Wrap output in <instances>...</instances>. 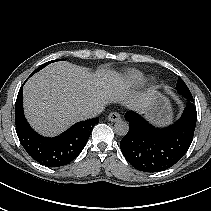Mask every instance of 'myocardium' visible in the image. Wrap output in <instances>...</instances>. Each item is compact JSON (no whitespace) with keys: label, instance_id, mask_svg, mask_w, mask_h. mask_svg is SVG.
Wrapping results in <instances>:
<instances>
[{"label":"myocardium","instance_id":"myocardium-1","mask_svg":"<svg viewBox=\"0 0 211 211\" xmlns=\"http://www.w3.org/2000/svg\"><path fill=\"white\" fill-rule=\"evenodd\" d=\"M154 83H155V80L154 79H150L149 81H148V86H153L154 85Z\"/></svg>","mask_w":211,"mask_h":211}]
</instances>
